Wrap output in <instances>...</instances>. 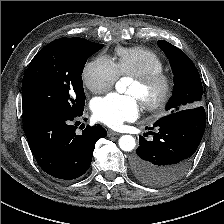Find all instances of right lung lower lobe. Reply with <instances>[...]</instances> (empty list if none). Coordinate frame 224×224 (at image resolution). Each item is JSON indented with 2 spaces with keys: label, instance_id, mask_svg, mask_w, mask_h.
I'll return each instance as SVG.
<instances>
[{
  "label": "right lung lower lobe",
  "instance_id": "obj_1",
  "mask_svg": "<svg viewBox=\"0 0 224 224\" xmlns=\"http://www.w3.org/2000/svg\"><path fill=\"white\" fill-rule=\"evenodd\" d=\"M84 108L73 114L48 112L24 120L23 130L39 166L49 175L63 180L82 176L90 167L95 143L107 136L101 126H87L76 134L73 121Z\"/></svg>",
  "mask_w": 224,
  "mask_h": 224
}]
</instances>
